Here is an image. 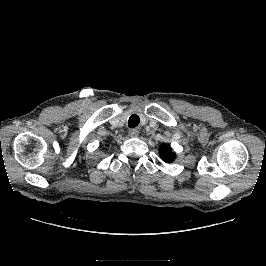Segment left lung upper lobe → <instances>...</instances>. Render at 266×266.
Listing matches in <instances>:
<instances>
[{
    "label": "left lung upper lobe",
    "instance_id": "obj_1",
    "mask_svg": "<svg viewBox=\"0 0 266 266\" xmlns=\"http://www.w3.org/2000/svg\"><path fill=\"white\" fill-rule=\"evenodd\" d=\"M159 153L162 160L166 163L172 162L176 158V155L172 152V149L164 144L159 148Z\"/></svg>",
    "mask_w": 266,
    "mask_h": 266
}]
</instances>
